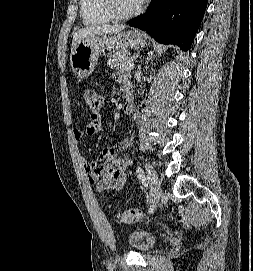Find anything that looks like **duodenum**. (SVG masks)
Listing matches in <instances>:
<instances>
[{
    "mask_svg": "<svg viewBox=\"0 0 253 271\" xmlns=\"http://www.w3.org/2000/svg\"><path fill=\"white\" fill-rule=\"evenodd\" d=\"M134 105V96L131 91L125 92L124 102H123V113L128 114L132 111Z\"/></svg>",
    "mask_w": 253,
    "mask_h": 271,
    "instance_id": "duodenum-1",
    "label": "duodenum"
}]
</instances>
